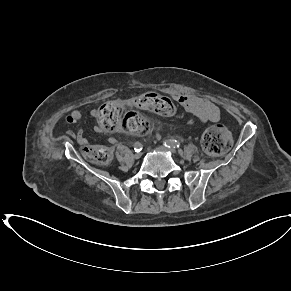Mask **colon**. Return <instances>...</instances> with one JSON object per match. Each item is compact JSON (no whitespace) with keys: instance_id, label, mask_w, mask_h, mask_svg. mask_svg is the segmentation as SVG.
<instances>
[{"instance_id":"1","label":"colon","mask_w":291,"mask_h":291,"mask_svg":"<svg viewBox=\"0 0 291 291\" xmlns=\"http://www.w3.org/2000/svg\"><path fill=\"white\" fill-rule=\"evenodd\" d=\"M127 107L164 116L172 115L175 110L169 98L155 92H144L132 98L129 103L112 100L103 104L97 111L98 130L114 132L124 128L130 132L142 133L146 127V119L137 111L126 112ZM230 144V132L221 124L210 127L202 136L204 149L212 155L225 152ZM82 152L88 159L99 164H107L112 158L111 150L104 146L85 145Z\"/></svg>"}]
</instances>
